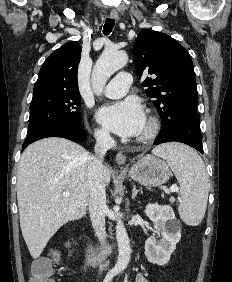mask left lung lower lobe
I'll return each instance as SVG.
<instances>
[{
    "instance_id": "1",
    "label": "left lung lower lobe",
    "mask_w": 232,
    "mask_h": 282,
    "mask_svg": "<svg viewBox=\"0 0 232 282\" xmlns=\"http://www.w3.org/2000/svg\"><path fill=\"white\" fill-rule=\"evenodd\" d=\"M171 141L190 145L203 154L200 116L196 111L180 106L169 118L162 120V129L154 144Z\"/></svg>"
}]
</instances>
